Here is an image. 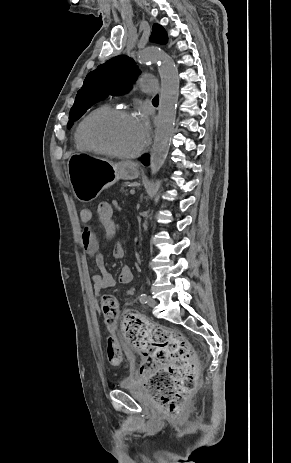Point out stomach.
Here are the masks:
<instances>
[{"mask_svg": "<svg viewBox=\"0 0 291 463\" xmlns=\"http://www.w3.org/2000/svg\"><path fill=\"white\" fill-rule=\"evenodd\" d=\"M67 170L74 196L81 202L94 200L118 179L131 180L139 176L132 162L113 163L103 157L78 152L69 156Z\"/></svg>", "mask_w": 291, "mask_h": 463, "instance_id": "stomach-1", "label": "stomach"}]
</instances>
